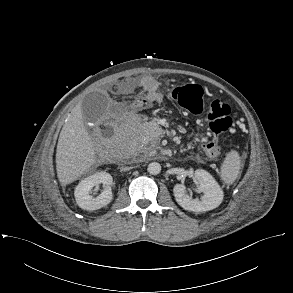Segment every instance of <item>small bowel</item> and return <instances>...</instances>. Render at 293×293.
<instances>
[{
    "mask_svg": "<svg viewBox=\"0 0 293 293\" xmlns=\"http://www.w3.org/2000/svg\"><path fill=\"white\" fill-rule=\"evenodd\" d=\"M129 89H136L146 93V96L154 102H161L162 96L159 93V84L151 75H143L139 78H132L127 81Z\"/></svg>",
    "mask_w": 293,
    "mask_h": 293,
    "instance_id": "1",
    "label": "small bowel"
}]
</instances>
